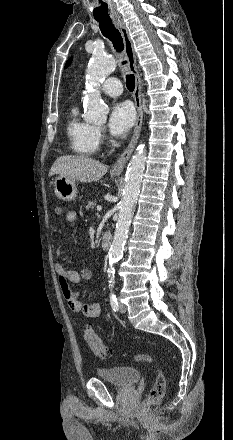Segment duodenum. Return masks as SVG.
I'll list each match as a JSON object with an SVG mask.
<instances>
[{
  "label": "duodenum",
  "mask_w": 233,
  "mask_h": 440,
  "mask_svg": "<svg viewBox=\"0 0 233 440\" xmlns=\"http://www.w3.org/2000/svg\"><path fill=\"white\" fill-rule=\"evenodd\" d=\"M112 242V235L109 231H105L101 236V247L103 250H107Z\"/></svg>",
  "instance_id": "410a0bca"
}]
</instances>
